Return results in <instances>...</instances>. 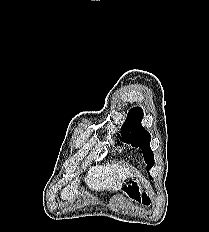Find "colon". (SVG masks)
<instances>
[{"instance_id":"obj_1","label":"colon","mask_w":209,"mask_h":232,"mask_svg":"<svg viewBox=\"0 0 209 232\" xmlns=\"http://www.w3.org/2000/svg\"><path fill=\"white\" fill-rule=\"evenodd\" d=\"M125 192L134 201L141 203L145 206L150 205L151 197L145 190L141 189L140 186L135 182L128 183L125 188Z\"/></svg>"}]
</instances>
